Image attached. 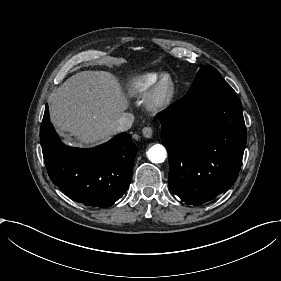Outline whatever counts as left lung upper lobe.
I'll list each match as a JSON object with an SVG mask.
<instances>
[{
	"label": "left lung upper lobe",
	"instance_id": "left-lung-upper-lobe-1",
	"mask_svg": "<svg viewBox=\"0 0 281 281\" xmlns=\"http://www.w3.org/2000/svg\"><path fill=\"white\" fill-rule=\"evenodd\" d=\"M233 91L231 86L214 67L201 65L189 91L183 98L188 99L205 94Z\"/></svg>",
	"mask_w": 281,
	"mask_h": 281
}]
</instances>
